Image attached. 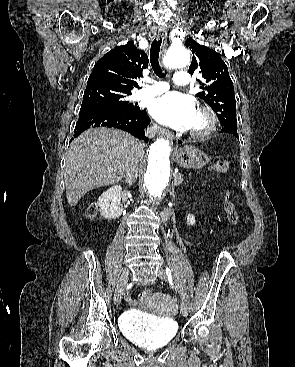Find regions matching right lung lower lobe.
Returning <instances> with one entry per match:
<instances>
[{"label": "right lung lower lobe", "instance_id": "obj_1", "mask_svg": "<svg viewBox=\"0 0 295 367\" xmlns=\"http://www.w3.org/2000/svg\"><path fill=\"white\" fill-rule=\"evenodd\" d=\"M149 123L150 118L146 114V110H141L139 107L133 110L109 108L84 109L80 110L72 140L89 128L114 127L127 131L146 142L144 129Z\"/></svg>", "mask_w": 295, "mask_h": 367}]
</instances>
